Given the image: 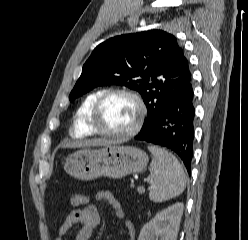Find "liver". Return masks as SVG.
<instances>
[{"label": "liver", "instance_id": "liver-1", "mask_svg": "<svg viewBox=\"0 0 248 240\" xmlns=\"http://www.w3.org/2000/svg\"><path fill=\"white\" fill-rule=\"evenodd\" d=\"M112 142L107 141V140H101V139H93L89 140L83 143H72V144H67L65 147H78V146H84V147H90V146H107L111 145Z\"/></svg>", "mask_w": 248, "mask_h": 240}]
</instances>
